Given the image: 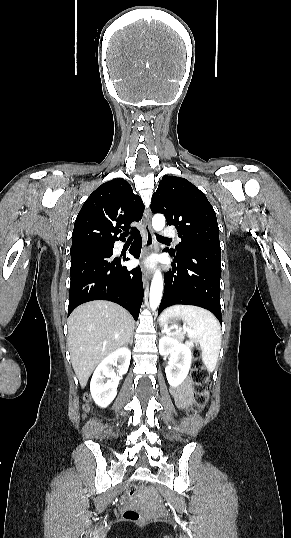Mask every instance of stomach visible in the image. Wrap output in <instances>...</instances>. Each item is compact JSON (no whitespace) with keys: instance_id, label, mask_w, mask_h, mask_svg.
<instances>
[{"instance_id":"obj_1","label":"stomach","mask_w":291,"mask_h":538,"mask_svg":"<svg viewBox=\"0 0 291 538\" xmlns=\"http://www.w3.org/2000/svg\"><path fill=\"white\" fill-rule=\"evenodd\" d=\"M176 320H177V317H170V318H168V320H167L165 326H167L168 323H175Z\"/></svg>"}]
</instances>
